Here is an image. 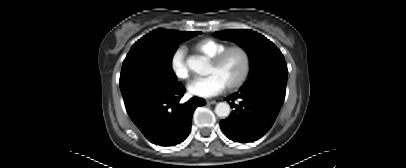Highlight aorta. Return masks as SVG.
I'll return each mask as SVG.
<instances>
[{"instance_id": "762f6f07", "label": "aorta", "mask_w": 406, "mask_h": 168, "mask_svg": "<svg viewBox=\"0 0 406 168\" xmlns=\"http://www.w3.org/2000/svg\"><path fill=\"white\" fill-rule=\"evenodd\" d=\"M187 66L190 70L194 71L199 75H206L208 70L207 61L203 57H190L187 60ZM230 105L225 102H220L215 107V113L221 118L228 117L230 114Z\"/></svg>"}]
</instances>
